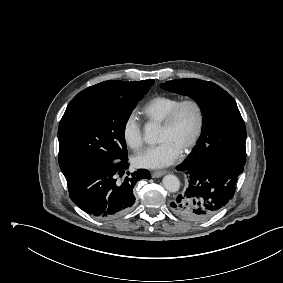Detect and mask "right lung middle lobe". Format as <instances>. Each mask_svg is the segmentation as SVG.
Instances as JSON below:
<instances>
[{"label": "right lung middle lobe", "instance_id": "right-lung-middle-lobe-1", "mask_svg": "<svg viewBox=\"0 0 283 283\" xmlns=\"http://www.w3.org/2000/svg\"><path fill=\"white\" fill-rule=\"evenodd\" d=\"M154 80L124 93L76 95L58 129L59 166L63 174L85 163L127 159L125 126Z\"/></svg>", "mask_w": 283, "mask_h": 283}]
</instances>
